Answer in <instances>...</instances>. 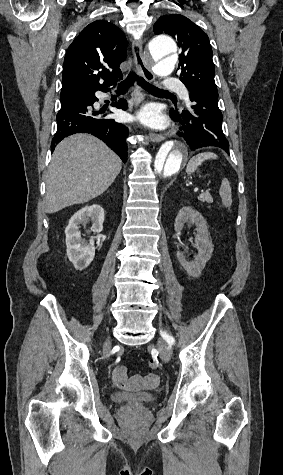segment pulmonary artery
Here are the masks:
<instances>
[{"label":"pulmonary artery","instance_id":"pulmonary-artery-1","mask_svg":"<svg viewBox=\"0 0 283 475\" xmlns=\"http://www.w3.org/2000/svg\"><path fill=\"white\" fill-rule=\"evenodd\" d=\"M175 85L178 87L176 90L177 95L188 98V88L184 87L179 81L176 84L173 80H164L161 82V87L164 89H173Z\"/></svg>","mask_w":283,"mask_h":475}]
</instances>
